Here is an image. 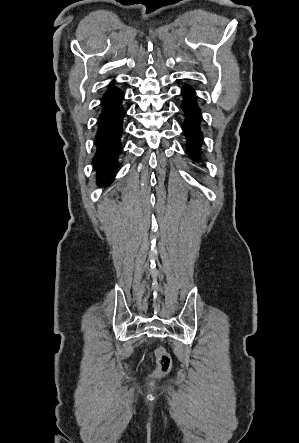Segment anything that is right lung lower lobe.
<instances>
[{"label": "right lung lower lobe", "mask_w": 299, "mask_h": 443, "mask_svg": "<svg viewBox=\"0 0 299 443\" xmlns=\"http://www.w3.org/2000/svg\"><path fill=\"white\" fill-rule=\"evenodd\" d=\"M124 95L114 86V81L109 84L108 91L102 99V112L99 115L98 130L96 135V155L94 169L100 185H109L117 169V154L120 151V137L122 134V120L125 110L121 105Z\"/></svg>", "instance_id": "1"}]
</instances>
